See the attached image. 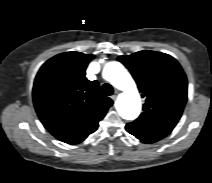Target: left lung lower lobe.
Instances as JSON below:
<instances>
[{
	"label": "left lung lower lobe",
	"instance_id": "0a47b994",
	"mask_svg": "<svg viewBox=\"0 0 212 183\" xmlns=\"http://www.w3.org/2000/svg\"><path fill=\"white\" fill-rule=\"evenodd\" d=\"M126 130L144 143H154L167 135L165 133L151 131L131 124L126 125Z\"/></svg>",
	"mask_w": 212,
	"mask_h": 183
}]
</instances>
